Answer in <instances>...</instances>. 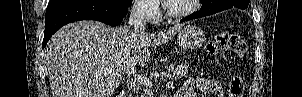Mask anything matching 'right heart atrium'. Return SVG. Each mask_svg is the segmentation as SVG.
I'll use <instances>...</instances> for the list:
<instances>
[{
	"label": "right heart atrium",
	"instance_id": "right-heart-atrium-1",
	"mask_svg": "<svg viewBox=\"0 0 302 97\" xmlns=\"http://www.w3.org/2000/svg\"><path fill=\"white\" fill-rule=\"evenodd\" d=\"M136 10L140 16L151 23H155L161 18V10L157 0L138 1Z\"/></svg>",
	"mask_w": 302,
	"mask_h": 97
}]
</instances>
